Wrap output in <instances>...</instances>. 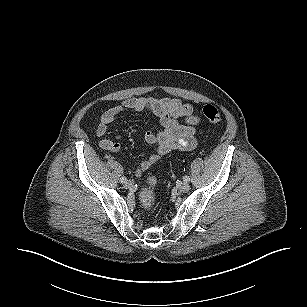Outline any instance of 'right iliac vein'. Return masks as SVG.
Here are the masks:
<instances>
[{"label":"right iliac vein","instance_id":"1","mask_svg":"<svg viewBox=\"0 0 307 307\" xmlns=\"http://www.w3.org/2000/svg\"><path fill=\"white\" fill-rule=\"evenodd\" d=\"M124 187H125L126 189H130V188L133 187V183H132L131 181H126V182L124 183Z\"/></svg>","mask_w":307,"mask_h":307}]
</instances>
